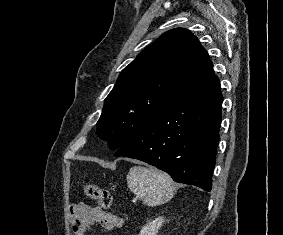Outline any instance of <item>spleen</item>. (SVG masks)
<instances>
[{
  "label": "spleen",
  "instance_id": "3e777b00",
  "mask_svg": "<svg viewBox=\"0 0 283 235\" xmlns=\"http://www.w3.org/2000/svg\"><path fill=\"white\" fill-rule=\"evenodd\" d=\"M127 185L143 204L151 207L168 202L175 193L172 178L156 168L133 166L127 175Z\"/></svg>",
  "mask_w": 283,
  "mask_h": 235
}]
</instances>
